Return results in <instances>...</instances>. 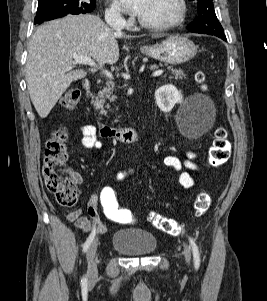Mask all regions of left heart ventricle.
I'll use <instances>...</instances> for the list:
<instances>
[{"instance_id": "left-heart-ventricle-1", "label": "left heart ventricle", "mask_w": 267, "mask_h": 301, "mask_svg": "<svg viewBox=\"0 0 267 301\" xmlns=\"http://www.w3.org/2000/svg\"><path fill=\"white\" fill-rule=\"evenodd\" d=\"M178 11L177 0H146L140 18L154 24L167 23L177 16Z\"/></svg>"}]
</instances>
